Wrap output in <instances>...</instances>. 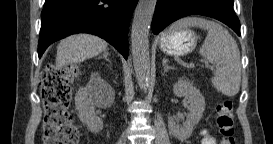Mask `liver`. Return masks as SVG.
Returning a JSON list of instances; mask_svg holds the SVG:
<instances>
[{
  "label": "liver",
  "instance_id": "obj_1",
  "mask_svg": "<svg viewBox=\"0 0 273 144\" xmlns=\"http://www.w3.org/2000/svg\"><path fill=\"white\" fill-rule=\"evenodd\" d=\"M108 43L95 35L77 34L63 39L57 47L56 69L65 65L81 63L107 49Z\"/></svg>",
  "mask_w": 273,
  "mask_h": 144
}]
</instances>
